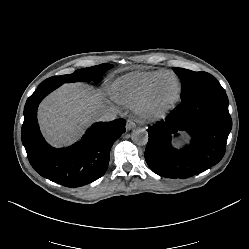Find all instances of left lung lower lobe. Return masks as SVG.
Returning <instances> with one entry per match:
<instances>
[{"instance_id": "0a47b994", "label": "left lung lower lobe", "mask_w": 249, "mask_h": 249, "mask_svg": "<svg viewBox=\"0 0 249 249\" xmlns=\"http://www.w3.org/2000/svg\"><path fill=\"white\" fill-rule=\"evenodd\" d=\"M232 120L225 90L196 94L182 102L165 120L149 127L145 160L156 174L187 178L217 164L225 153ZM186 131L191 142L182 149L171 144L172 136Z\"/></svg>"}]
</instances>
